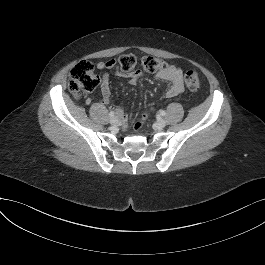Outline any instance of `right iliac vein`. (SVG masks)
Masks as SVG:
<instances>
[{
  "label": "right iliac vein",
  "mask_w": 265,
  "mask_h": 265,
  "mask_svg": "<svg viewBox=\"0 0 265 265\" xmlns=\"http://www.w3.org/2000/svg\"><path fill=\"white\" fill-rule=\"evenodd\" d=\"M110 123H111L112 125L117 124V123H118V118H116V117H112V118H110Z\"/></svg>",
  "instance_id": "obj_1"
}]
</instances>
